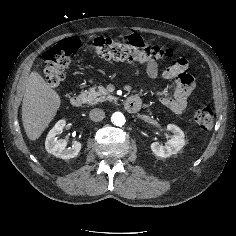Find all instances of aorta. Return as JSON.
Instances as JSON below:
<instances>
[{
    "label": "aorta",
    "instance_id": "aorta-1",
    "mask_svg": "<svg viewBox=\"0 0 236 236\" xmlns=\"http://www.w3.org/2000/svg\"><path fill=\"white\" fill-rule=\"evenodd\" d=\"M111 120L113 124L116 126H122L125 124V121H126L124 115L120 112H115L112 115Z\"/></svg>",
    "mask_w": 236,
    "mask_h": 236
}]
</instances>
